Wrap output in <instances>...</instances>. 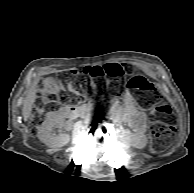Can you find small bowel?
<instances>
[{"label":"small bowel","instance_id":"1","mask_svg":"<svg viewBox=\"0 0 194 193\" xmlns=\"http://www.w3.org/2000/svg\"><path fill=\"white\" fill-rule=\"evenodd\" d=\"M123 98L130 126L138 133L145 132L147 127L146 114L139 109L129 93H125Z\"/></svg>","mask_w":194,"mask_h":193}]
</instances>
